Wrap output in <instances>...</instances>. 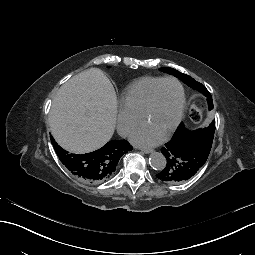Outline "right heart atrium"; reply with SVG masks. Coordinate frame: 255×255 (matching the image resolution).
Returning <instances> with one entry per match:
<instances>
[{"label": "right heart atrium", "mask_w": 255, "mask_h": 255, "mask_svg": "<svg viewBox=\"0 0 255 255\" xmlns=\"http://www.w3.org/2000/svg\"><path fill=\"white\" fill-rule=\"evenodd\" d=\"M117 113V130L122 137H128L139 123V116L119 106Z\"/></svg>", "instance_id": "d8ad5b80"}]
</instances>
